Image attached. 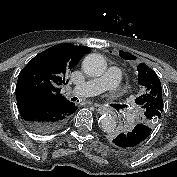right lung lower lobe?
Listing matches in <instances>:
<instances>
[{"instance_id": "1", "label": "right lung lower lobe", "mask_w": 177, "mask_h": 177, "mask_svg": "<svg viewBox=\"0 0 177 177\" xmlns=\"http://www.w3.org/2000/svg\"><path fill=\"white\" fill-rule=\"evenodd\" d=\"M17 105L26 125L35 133L48 134L60 129L77 109L69 101L18 96Z\"/></svg>"}]
</instances>
